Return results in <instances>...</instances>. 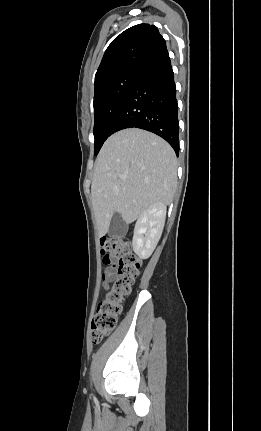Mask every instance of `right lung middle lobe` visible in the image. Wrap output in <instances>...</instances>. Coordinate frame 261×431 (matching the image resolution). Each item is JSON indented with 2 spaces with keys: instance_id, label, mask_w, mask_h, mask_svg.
Here are the masks:
<instances>
[{
  "instance_id": "right-lung-middle-lobe-1",
  "label": "right lung middle lobe",
  "mask_w": 261,
  "mask_h": 431,
  "mask_svg": "<svg viewBox=\"0 0 261 431\" xmlns=\"http://www.w3.org/2000/svg\"><path fill=\"white\" fill-rule=\"evenodd\" d=\"M140 71L121 73L95 88L94 94V154L97 155L111 135V126L122 103Z\"/></svg>"
}]
</instances>
